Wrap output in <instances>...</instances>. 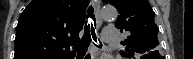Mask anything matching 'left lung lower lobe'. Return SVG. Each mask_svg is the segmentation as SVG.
Instances as JSON below:
<instances>
[{
    "label": "left lung lower lobe",
    "mask_w": 193,
    "mask_h": 59,
    "mask_svg": "<svg viewBox=\"0 0 193 59\" xmlns=\"http://www.w3.org/2000/svg\"><path fill=\"white\" fill-rule=\"evenodd\" d=\"M142 59H163V57L157 51H153L142 56Z\"/></svg>",
    "instance_id": "left-lung-lower-lobe-1"
}]
</instances>
